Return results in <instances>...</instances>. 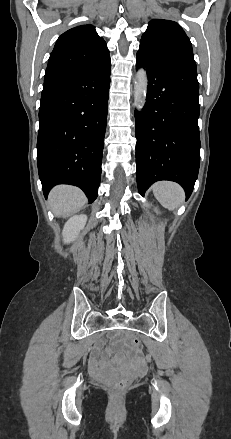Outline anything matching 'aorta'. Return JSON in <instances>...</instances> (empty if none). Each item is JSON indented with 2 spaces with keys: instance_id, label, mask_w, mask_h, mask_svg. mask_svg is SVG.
I'll return each instance as SVG.
<instances>
[{
  "instance_id": "1",
  "label": "aorta",
  "mask_w": 231,
  "mask_h": 439,
  "mask_svg": "<svg viewBox=\"0 0 231 439\" xmlns=\"http://www.w3.org/2000/svg\"><path fill=\"white\" fill-rule=\"evenodd\" d=\"M148 79L146 70L138 69L134 80V104L140 110L146 102Z\"/></svg>"
}]
</instances>
